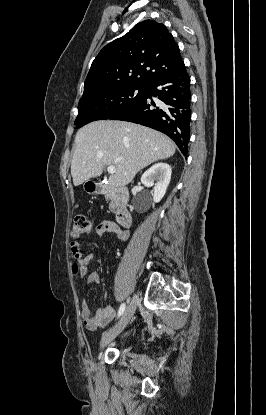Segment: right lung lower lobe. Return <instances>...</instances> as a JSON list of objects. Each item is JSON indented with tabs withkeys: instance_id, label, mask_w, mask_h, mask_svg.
I'll return each instance as SVG.
<instances>
[{
	"instance_id": "obj_1",
	"label": "right lung lower lobe",
	"mask_w": 266,
	"mask_h": 415,
	"mask_svg": "<svg viewBox=\"0 0 266 415\" xmlns=\"http://www.w3.org/2000/svg\"><path fill=\"white\" fill-rule=\"evenodd\" d=\"M151 96L160 101L156 104ZM190 105V78L185 66H182L178 71L151 83L143 100L110 119L130 121L158 130L174 140L187 157Z\"/></svg>"
}]
</instances>
